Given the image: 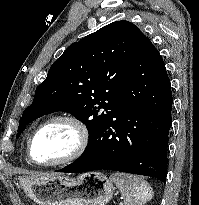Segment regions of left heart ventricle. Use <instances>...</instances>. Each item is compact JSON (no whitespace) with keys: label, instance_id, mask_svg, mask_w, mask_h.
<instances>
[{"label":"left heart ventricle","instance_id":"left-heart-ventricle-1","mask_svg":"<svg viewBox=\"0 0 199 205\" xmlns=\"http://www.w3.org/2000/svg\"><path fill=\"white\" fill-rule=\"evenodd\" d=\"M76 141L74 129L65 123H54L35 138L33 157L38 162H51L67 155Z\"/></svg>","mask_w":199,"mask_h":205}]
</instances>
